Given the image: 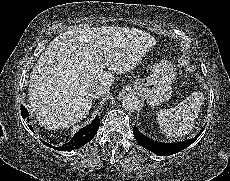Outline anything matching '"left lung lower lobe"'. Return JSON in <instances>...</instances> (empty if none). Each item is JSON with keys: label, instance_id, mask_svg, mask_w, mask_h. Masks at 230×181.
<instances>
[{"label": "left lung lower lobe", "instance_id": "left-lung-lower-lobe-1", "mask_svg": "<svg viewBox=\"0 0 230 181\" xmlns=\"http://www.w3.org/2000/svg\"><path fill=\"white\" fill-rule=\"evenodd\" d=\"M203 130L204 129H202V131ZM133 133L136 141L142 147L160 156H169L178 153L184 150L185 148H187L188 146H190L200 136L199 134L190 140L177 142V143H158L145 137L143 134H141V132L137 130L135 126L133 128Z\"/></svg>", "mask_w": 230, "mask_h": 181}]
</instances>
